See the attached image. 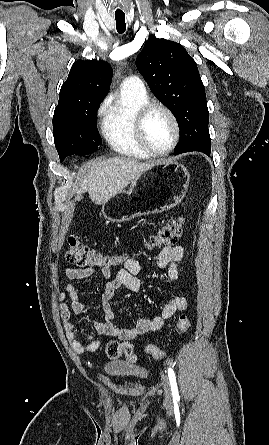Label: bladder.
I'll return each instance as SVG.
<instances>
[{"label":"bladder","mask_w":269,"mask_h":445,"mask_svg":"<svg viewBox=\"0 0 269 445\" xmlns=\"http://www.w3.org/2000/svg\"><path fill=\"white\" fill-rule=\"evenodd\" d=\"M104 373L112 378H129L145 381L149 372L142 368H136L122 361H108L103 365Z\"/></svg>","instance_id":"obj_1"}]
</instances>
